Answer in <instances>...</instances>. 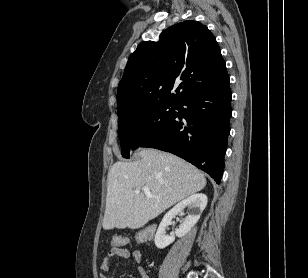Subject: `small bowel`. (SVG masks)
<instances>
[{
	"instance_id": "small-bowel-1",
	"label": "small bowel",
	"mask_w": 308,
	"mask_h": 278,
	"mask_svg": "<svg viewBox=\"0 0 308 278\" xmlns=\"http://www.w3.org/2000/svg\"><path fill=\"white\" fill-rule=\"evenodd\" d=\"M132 257L137 264L138 272L141 278H150L146 270L140 265L142 260V254L140 250L134 249L129 250L123 247H115L113 248L108 255L104 258L100 268L102 270V274L100 278H110L106 273L110 270L111 260L113 258L117 259H128Z\"/></svg>"
}]
</instances>
